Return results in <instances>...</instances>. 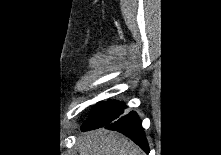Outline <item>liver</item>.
<instances>
[{
	"label": "liver",
	"mask_w": 221,
	"mask_h": 155,
	"mask_svg": "<svg viewBox=\"0 0 221 155\" xmlns=\"http://www.w3.org/2000/svg\"><path fill=\"white\" fill-rule=\"evenodd\" d=\"M79 155H142L141 149L120 133L104 128L78 137Z\"/></svg>",
	"instance_id": "1"
}]
</instances>
